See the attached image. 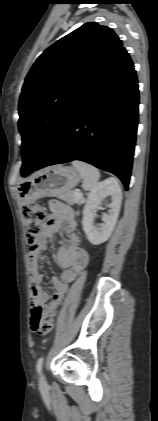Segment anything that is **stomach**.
I'll return each instance as SVG.
<instances>
[{"instance_id":"stomach-1","label":"stomach","mask_w":158,"mask_h":421,"mask_svg":"<svg viewBox=\"0 0 158 421\" xmlns=\"http://www.w3.org/2000/svg\"><path fill=\"white\" fill-rule=\"evenodd\" d=\"M78 171L69 166L45 168L18 186V193L25 203H34L42 197L62 196L79 183Z\"/></svg>"}]
</instances>
